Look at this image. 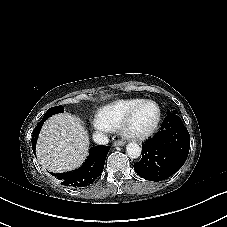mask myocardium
Here are the masks:
<instances>
[{
    "label": "myocardium",
    "instance_id": "myocardium-1",
    "mask_svg": "<svg viewBox=\"0 0 227 227\" xmlns=\"http://www.w3.org/2000/svg\"><path fill=\"white\" fill-rule=\"evenodd\" d=\"M145 103L153 104L157 107L158 115H157V119H156L155 123L152 125V127H150L146 131L139 132V131L130 130L128 128V125L131 121V118L133 117L135 112L138 110V108ZM161 116H162L161 107L156 101L151 100V99H143L140 102H138L133 108H131L129 110V112L125 115V117L123 118V120L120 123L119 132L126 139H131V140L145 139V138L151 136L156 131V129L158 128L159 123L161 121Z\"/></svg>",
    "mask_w": 227,
    "mask_h": 227
}]
</instances>
